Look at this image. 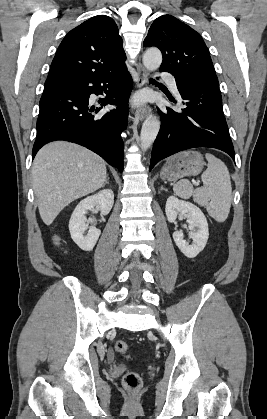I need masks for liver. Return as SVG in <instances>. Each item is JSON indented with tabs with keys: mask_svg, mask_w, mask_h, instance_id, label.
<instances>
[{
	"mask_svg": "<svg viewBox=\"0 0 267 419\" xmlns=\"http://www.w3.org/2000/svg\"><path fill=\"white\" fill-rule=\"evenodd\" d=\"M104 160L77 144L57 141L42 147L32 165V180L41 219L52 224L71 202L101 188Z\"/></svg>",
	"mask_w": 267,
	"mask_h": 419,
	"instance_id": "6515ba94",
	"label": "liver"
}]
</instances>
